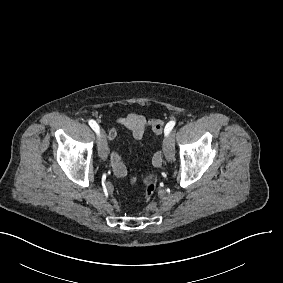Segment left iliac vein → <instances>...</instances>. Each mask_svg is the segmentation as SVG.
Here are the masks:
<instances>
[{
    "instance_id": "1",
    "label": "left iliac vein",
    "mask_w": 283,
    "mask_h": 283,
    "mask_svg": "<svg viewBox=\"0 0 283 283\" xmlns=\"http://www.w3.org/2000/svg\"><path fill=\"white\" fill-rule=\"evenodd\" d=\"M162 147L167 161H173L175 158L174 137L170 136L164 138Z\"/></svg>"
}]
</instances>
